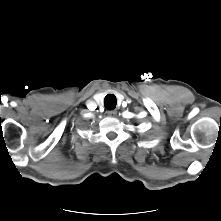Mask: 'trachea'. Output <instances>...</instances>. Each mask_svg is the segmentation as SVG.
I'll use <instances>...</instances> for the list:
<instances>
[{
	"instance_id": "1",
	"label": "trachea",
	"mask_w": 221,
	"mask_h": 221,
	"mask_svg": "<svg viewBox=\"0 0 221 221\" xmlns=\"http://www.w3.org/2000/svg\"><path fill=\"white\" fill-rule=\"evenodd\" d=\"M116 104H117V100H116L115 95L113 94L106 95L104 99V106L106 109L113 110L116 107Z\"/></svg>"
}]
</instances>
